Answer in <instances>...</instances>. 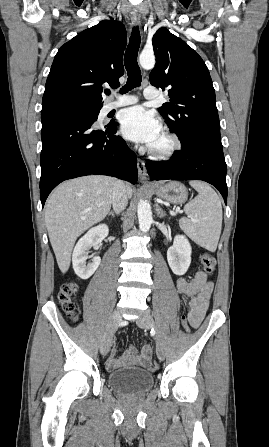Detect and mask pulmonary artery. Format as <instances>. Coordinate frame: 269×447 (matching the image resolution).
Here are the masks:
<instances>
[{
  "label": "pulmonary artery",
  "instance_id": "1",
  "mask_svg": "<svg viewBox=\"0 0 269 447\" xmlns=\"http://www.w3.org/2000/svg\"><path fill=\"white\" fill-rule=\"evenodd\" d=\"M143 96L146 99H154L159 96V93L156 88L152 86H148L143 91ZM139 101V97L136 95H118L113 100L107 102L104 106L105 111H110L112 109H116L118 107L135 104Z\"/></svg>",
  "mask_w": 269,
  "mask_h": 447
}]
</instances>
